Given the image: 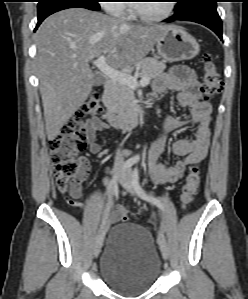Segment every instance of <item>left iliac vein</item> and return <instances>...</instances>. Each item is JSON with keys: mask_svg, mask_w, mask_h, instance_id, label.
I'll use <instances>...</instances> for the list:
<instances>
[{"mask_svg": "<svg viewBox=\"0 0 248 299\" xmlns=\"http://www.w3.org/2000/svg\"><path fill=\"white\" fill-rule=\"evenodd\" d=\"M119 182L131 195H135V191H134V188L132 185L130 170L125 171L121 175ZM158 244H159V248H160L163 258L167 259L168 258V245H167V241H166V238H165V235L163 234V232L158 233Z\"/></svg>", "mask_w": 248, "mask_h": 299, "instance_id": "1", "label": "left iliac vein"}]
</instances>
